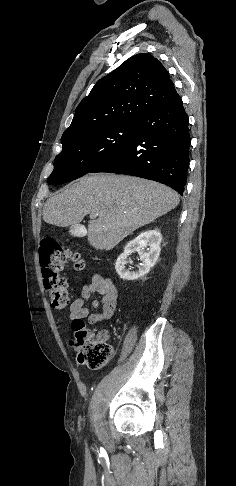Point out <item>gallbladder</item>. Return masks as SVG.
<instances>
[{"instance_id":"obj_1","label":"gallbladder","mask_w":236,"mask_h":486,"mask_svg":"<svg viewBox=\"0 0 236 486\" xmlns=\"http://www.w3.org/2000/svg\"><path fill=\"white\" fill-rule=\"evenodd\" d=\"M81 230H83V226H81L79 224H74V225H71V227H70V233H71V235H74V236H79Z\"/></svg>"}]
</instances>
